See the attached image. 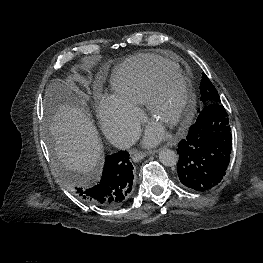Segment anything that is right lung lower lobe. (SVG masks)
Segmentation results:
<instances>
[{
	"mask_svg": "<svg viewBox=\"0 0 263 263\" xmlns=\"http://www.w3.org/2000/svg\"><path fill=\"white\" fill-rule=\"evenodd\" d=\"M133 166L129 154L119 151L105 158L102 177L97 185L76 187L75 191L86 203L110 208L123 204L131 195Z\"/></svg>",
	"mask_w": 263,
	"mask_h": 263,
	"instance_id": "98d812e1",
	"label": "right lung lower lobe"
}]
</instances>
